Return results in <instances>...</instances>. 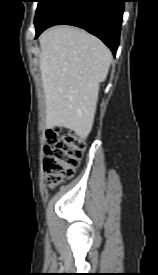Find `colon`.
<instances>
[{
	"label": "colon",
	"mask_w": 158,
	"mask_h": 275,
	"mask_svg": "<svg viewBox=\"0 0 158 275\" xmlns=\"http://www.w3.org/2000/svg\"><path fill=\"white\" fill-rule=\"evenodd\" d=\"M85 149L84 140L72 130L52 128L46 132L44 170L50 186L73 176Z\"/></svg>",
	"instance_id": "5ec220e1"
}]
</instances>
